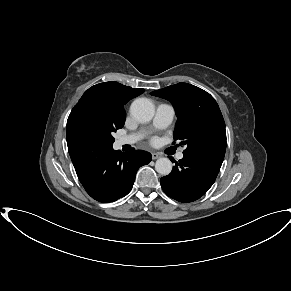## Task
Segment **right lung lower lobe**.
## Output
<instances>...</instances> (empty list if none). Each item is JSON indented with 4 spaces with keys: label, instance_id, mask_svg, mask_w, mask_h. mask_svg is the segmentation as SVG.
Masks as SVG:
<instances>
[{
    "label": "right lung lower lobe",
    "instance_id": "right-lung-lower-lobe-1",
    "mask_svg": "<svg viewBox=\"0 0 291 291\" xmlns=\"http://www.w3.org/2000/svg\"><path fill=\"white\" fill-rule=\"evenodd\" d=\"M68 151L86 192L99 202H112L127 195L139 167L151 161V154L136 150L122 154L96 141L67 138Z\"/></svg>",
    "mask_w": 291,
    "mask_h": 291
}]
</instances>
